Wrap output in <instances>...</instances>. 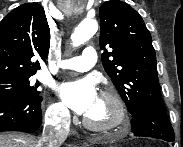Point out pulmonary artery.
Returning a JSON list of instances; mask_svg holds the SVG:
<instances>
[{"label":"pulmonary artery","instance_id":"obj_1","mask_svg":"<svg viewBox=\"0 0 183 147\" xmlns=\"http://www.w3.org/2000/svg\"><path fill=\"white\" fill-rule=\"evenodd\" d=\"M97 61V52L93 47H86L80 56L65 59L60 67L67 70L85 72L91 69Z\"/></svg>","mask_w":183,"mask_h":147}]
</instances>
